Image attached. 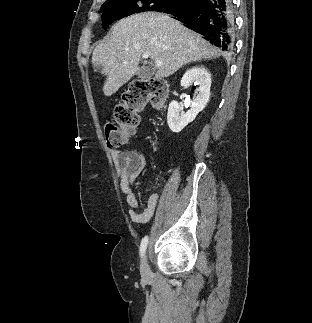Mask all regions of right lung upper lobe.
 Here are the masks:
<instances>
[{"instance_id":"1","label":"right lung upper lobe","mask_w":312,"mask_h":323,"mask_svg":"<svg viewBox=\"0 0 312 323\" xmlns=\"http://www.w3.org/2000/svg\"><path fill=\"white\" fill-rule=\"evenodd\" d=\"M112 1H114V0H106V2L104 3V4H106V3H110V2H112ZM103 4V5H104ZM164 10V9H163ZM160 11H162V10H160Z\"/></svg>"}]
</instances>
